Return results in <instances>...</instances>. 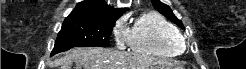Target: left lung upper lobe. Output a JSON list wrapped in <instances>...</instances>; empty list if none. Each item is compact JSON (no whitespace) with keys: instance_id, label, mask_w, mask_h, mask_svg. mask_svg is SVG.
<instances>
[{"instance_id":"1","label":"left lung upper lobe","mask_w":246,"mask_h":69,"mask_svg":"<svg viewBox=\"0 0 246 69\" xmlns=\"http://www.w3.org/2000/svg\"><path fill=\"white\" fill-rule=\"evenodd\" d=\"M152 4L157 11H159L161 14H163L181 28H184L182 22L175 17L169 6L161 3L160 0H152Z\"/></svg>"}]
</instances>
